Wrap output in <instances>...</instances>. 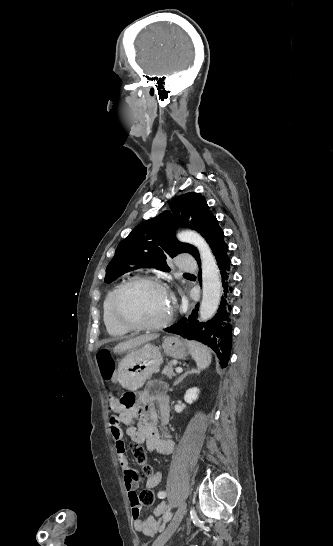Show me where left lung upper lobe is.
Returning a JSON list of instances; mask_svg holds the SVG:
<instances>
[{
    "mask_svg": "<svg viewBox=\"0 0 333 546\" xmlns=\"http://www.w3.org/2000/svg\"><path fill=\"white\" fill-rule=\"evenodd\" d=\"M169 206L172 212L164 211L144 221L119 243L106 268V283L139 268L169 272V258L180 253H190L194 257L198 254L194 246L178 241L172 231L177 227L194 229L207 241L216 217L206 200L197 193H186L170 201Z\"/></svg>",
    "mask_w": 333,
    "mask_h": 546,
    "instance_id": "1",
    "label": "left lung upper lobe"
}]
</instances>
